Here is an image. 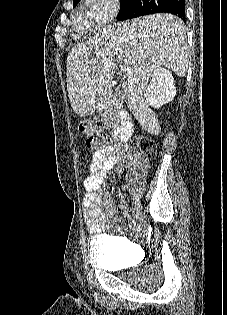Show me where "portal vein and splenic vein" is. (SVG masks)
Returning a JSON list of instances; mask_svg holds the SVG:
<instances>
[{
    "mask_svg": "<svg viewBox=\"0 0 227 315\" xmlns=\"http://www.w3.org/2000/svg\"><path fill=\"white\" fill-rule=\"evenodd\" d=\"M105 64H106L107 66L112 67V68L115 69L114 64H113L111 61H107ZM127 71H129V68H127V67H121V72H122V73H126Z\"/></svg>",
    "mask_w": 227,
    "mask_h": 315,
    "instance_id": "portal-vein-and-splenic-vein-1",
    "label": "portal vein and splenic vein"
}]
</instances>
